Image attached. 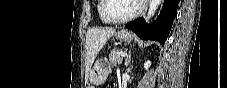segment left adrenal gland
<instances>
[{
  "label": "left adrenal gland",
  "mask_w": 227,
  "mask_h": 88,
  "mask_svg": "<svg viewBox=\"0 0 227 88\" xmlns=\"http://www.w3.org/2000/svg\"><path fill=\"white\" fill-rule=\"evenodd\" d=\"M131 62V51L128 53L126 59H125V67L128 68L129 64Z\"/></svg>",
  "instance_id": "obj_1"
}]
</instances>
